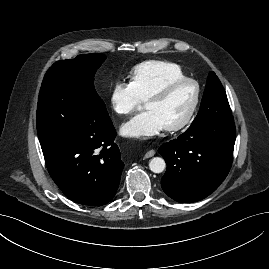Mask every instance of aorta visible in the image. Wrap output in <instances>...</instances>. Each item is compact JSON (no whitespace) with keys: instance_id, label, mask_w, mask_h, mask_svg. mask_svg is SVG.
<instances>
[{"instance_id":"aorta-1","label":"aorta","mask_w":269,"mask_h":269,"mask_svg":"<svg viewBox=\"0 0 269 269\" xmlns=\"http://www.w3.org/2000/svg\"><path fill=\"white\" fill-rule=\"evenodd\" d=\"M166 167V163L163 158L154 157L149 162V168L154 173H162Z\"/></svg>"}]
</instances>
